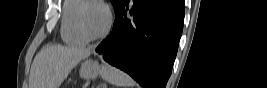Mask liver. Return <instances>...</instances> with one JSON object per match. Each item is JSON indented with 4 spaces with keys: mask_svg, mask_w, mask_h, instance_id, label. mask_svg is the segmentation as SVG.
Here are the masks:
<instances>
[{
    "mask_svg": "<svg viewBox=\"0 0 267 88\" xmlns=\"http://www.w3.org/2000/svg\"><path fill=\"white\" fill-rule=\"evenodd\" d=\"M90 54L89 49L75 46L44 47L32 63L29 88H59L71 70Z\"/></svg>",
    "mask_w": 267,
    "mask_h": 88,
    "instance_id": "1",
    "label": "liver"
}]
</instances>
